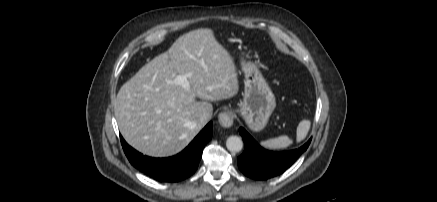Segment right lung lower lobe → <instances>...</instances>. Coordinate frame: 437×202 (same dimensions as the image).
<instances>
[{
	"label": "right lung lower lobe",
	"mask_w": 437,
	"mask_h": 202,
	"mask_svg": "<svg viewBox=\"0 0 437 202\" xmlns=\"http://www.w3.org/2000/svg\"><path fill=\"white\" fill-rule=\"evenodd\" d=\"M120 138L123 150L135 168L161 182H178L197 170L203 148L212 138V122L181 153L168 158L143 156L130 147L122 136Z\"/></svg>",
	"instance_id": "1"
}]
</instances>
